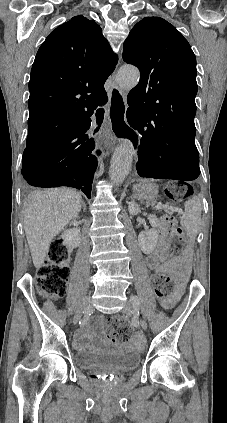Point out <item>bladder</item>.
<instances>
[{"label": "bladder", "instance_id": "31cf9c89", "mask_svg": "<svg viewBox=\"0 0 227 423\" xmlns=\"http://www.w3.org/2000/svg\"><path fill=\"white\" fill-rule=\"evenodd\" d=\"M75 364L83 371H93L110 368L118 374H124L136 369L141 363V355L135 350H122L119 352H100L84 349L75 352Z\"/></svg>", "mask_w": 227, "mask_h": 423}]
</instances>
